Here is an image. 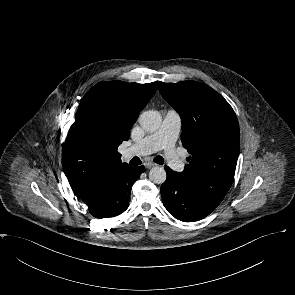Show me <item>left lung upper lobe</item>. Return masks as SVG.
Masks as SVG:
<instances>
[{
    "mask_svg": "<svg viewBox=\"0 0 295 295\" xmlns=\"http://www.w3.org/2000/svg\"><path fill=\"white\" fill-rule=\"evenodd\" d=\"M163 98L179 113L181 141L190 153L182 179L211 205L218 206L233 182L240 149L236 114L210 86L184 81L159 84Z\"/></svg>",
    "mask_w": 295,
    "mask_h": 295,
    "instance_id": "obj_1",
    "label": "left lung upper lobe"
}]
</instances>
